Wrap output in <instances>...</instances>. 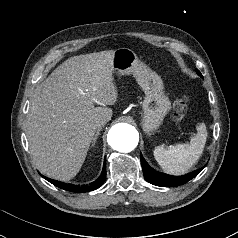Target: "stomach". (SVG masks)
<instances>
[{
    "label": "stomach",
    "instance_id": "0dacf381",
    "mask_svg": "<svg viewBox=\"0 0 238 238\" xmlns=\"http://www.w3.org/2000/svg\"><path fill=\"white\" fill-rule=\"evenodd\" d=\"M113 68L118 75L133 74L135 76L145 93L142 102L141 125L146 134H153L160 128L171 108V103L164 93L161 77L145 66L128 48H119L115 51Z\"/></svg>",
    "mask_w": 238,
    "mask_h": 238
}]
</instances>
